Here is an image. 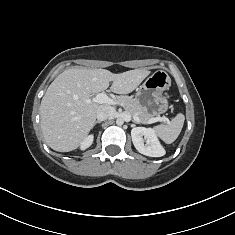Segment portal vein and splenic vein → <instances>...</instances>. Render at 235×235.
I'll use <instances>...</instances> for the list:
<instances>
[{
	"mask_svg": "<svg viewBox=\"0 0 235 235\" xmlns=\"http://www.w3.org/2000/svg\"><path fill=\"white\" fill-rule=\"evenodd\" d=\"M92 102H95V103H99V104H103V103H108V104H117L118 102L109 98L106 94L104 93H99L97 94L93 99H92ZM133 119L139 123L140 122V119L134 115L133 116ZM165 122V123H169V119L166 118V117H156V118H152L150 119L147 123L148 124H152V123H155V122Z\"/></svg>",
	"mask_w": 235,
	"mask_h": 235,
	"instance_id": "1",
	"label": "portal vein and splenic vein"
}]
</instances>
